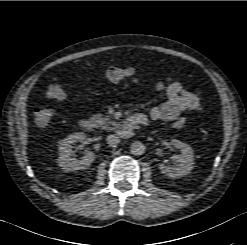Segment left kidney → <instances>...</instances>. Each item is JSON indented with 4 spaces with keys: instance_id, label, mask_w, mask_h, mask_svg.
<instances>
[{
    "instance_id": "5707ae66",
    "label": "left kidney",
    "mask_w": 247,
    "mask_h": 245,
    "mask_svg": "<svg viewBox=\"0 0 247 245\" xmlns=\"http://www.w3.org/2000/svg\"><path fill=\"white\" fill-rule=\"evenodd\" d=\"M171 144L178 148L181 154L174 156L173 159L176 162L174 165L166 166L161 164L159 166L160 172L170 178L188 175L193 169L194 164L193 149L188 144L177 139H172Z\"/></svg>"
}]
</instances>
